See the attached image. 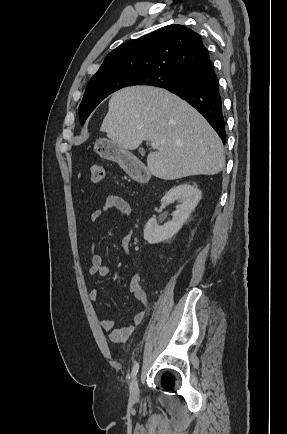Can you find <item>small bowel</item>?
Instances as JSON below:
<instances>
[{"mask_svg": "<svg viewBox=\"0 0 287 434\" xmlns=\"http://www.w3.org/2000/svg\"><path fill=\"white\" fill-rule=\"evenodd\" d=\"M110 210H116L126 218H130L132 215V209L127 201L117 195H110L106 198L104 204L92 213L91 221H99L105 215V213ZM131 241L132 232L128 231L121 239V245L125 255H128L129 253ZM110 273V268L103 263L102 257L97 253H92L89 274L92 276L107 277L110 275ZM129 291L130 294L136 300H138L142 306V309L134 315L132 325L122 328H115L114 321L111 318H104L100 320L101 328L108 332V337L112 342L127 341L134 333L136 328L139 327L145 320L147 296L142 287L141 278L138 274H134L131 277ZM98 298V291L95 289L91 290L89 293L90 301L96 303Z\"/></svg>", "mask_w": 287, "mask_h": 434, "instance_id": "c3829d8e", "label": "small bowel"}]
</instances>
